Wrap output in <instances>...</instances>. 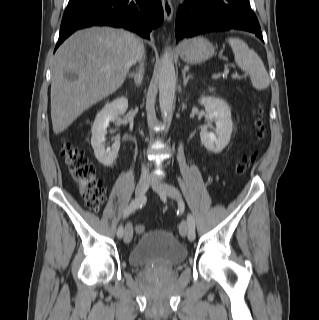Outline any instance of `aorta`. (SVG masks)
I'll return each mask as SVG.
<instances>
[{
    "mask_svg": "<svg viewBox=\"0 0 319 320\" xmlns=\"http://www.w3.org/2000/svg\"><path fill=\"white\" fill-rule=\"evenodd\" d=\"M176 86V75L174 63L170 53H165L159 69V104L163 118H167L170 113Z\"/></svg>",
    "mask_w": 319,
    "mask_h": 320,
    "instance_id": "obj_1",
    "label": "aorta"
}]
</instances>
